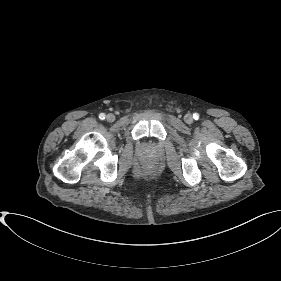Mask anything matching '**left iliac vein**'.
Here are the masks:
<instances>
[{
  "mask_svg": "<svg viewBox=\"0 0 281 281\" xmlns=\"http://www.w3.org/2000/svg\"><path fill=\"white\" fill-rule=\"evenodd\" d=\"M184 120H185L186 123L190 124V123L193 122V117H192L191 114H186V115L184 116Z\"/></svg>",
  "mask_w": 281,
  "mask_h": 281,
  "instance_id": "left-iliac-vein-1",
  "label": "left iliac vein"
}]
</instances>
